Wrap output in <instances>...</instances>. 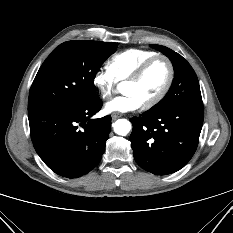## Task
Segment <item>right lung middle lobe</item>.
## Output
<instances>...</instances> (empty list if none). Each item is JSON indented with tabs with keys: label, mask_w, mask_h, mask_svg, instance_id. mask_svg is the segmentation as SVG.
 Masks as SVG:
<instances>
[{
	"label": "right lung middle lobe",
	"mask_w": 233,
	"mask_h": 233,
	"mask_svg": "<svg viewBox=\"0 0 233 233\" xmlns=\"http://www.w3.org/2000/svg\"><path fill=\"white\" fill-rule=\"evenodd\" d=\"M118 44L67 41L40 67L29 92L28 111L53 106H75L96 94L94 78Z\"/></svg>",
	"instance_id": "1"
}]
</instances>
